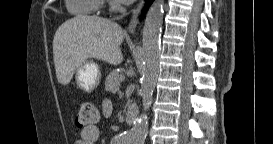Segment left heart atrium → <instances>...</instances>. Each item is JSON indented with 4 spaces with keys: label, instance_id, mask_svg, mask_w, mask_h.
Here are the masks:
<instances>
[{
    "label": "left heart atrium",
    "instance_id": "1",
    "mask_svg": "<svg viewBox=\"0 0 273 144\" xmlns=\"http://www.w3.org/2000/svg\"><path fill=\"white\" fill-rule=\"evenodd\" d=\"M122 3H129V2H131L132 0H120Z\"/></svg>",
    "mask_w": 273,
    "mask_h": 144
}]
</instances>
